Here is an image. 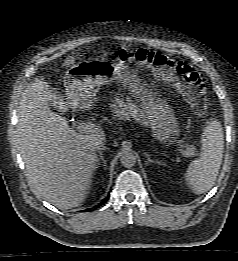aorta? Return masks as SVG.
Here are the masks:
<instances>
[{"instance_id":"1","label":"aorta","mask_w":238,"mask_h":261,"mask_svg":"<svg viewBox=\"0 0 238 261\" xmlns=\"http://www.w3.org/2000/svg\"><path fill=\"white\" fill-rule=\"evenodd\" d=\"M121 164L126 168H131L136 163V156L132 152H124L120 158Z\"/></svg>"}]
</instances>
